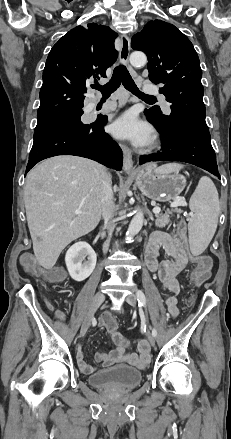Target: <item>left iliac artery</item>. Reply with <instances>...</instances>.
<instances>
[{
	"label": "left iliac artery",
	"mask_w": 231,
	"mask_h": 439,
	"mask_svg": "<svg viewBox=\"0 0 231 439\" xmlns=\"http://www.w3.org/2000/svg\"><path fill=\"white\" fill-rule=\"evenodd\" d=\"M136 295H137L139 306L146 307V297L144 293L141 290H137ZM152 335L154 337L157 335V331L155 328L152 329Z\"/></svg>",
	"instance_id": "left-iliac-artery-1"
}]
</instances>
